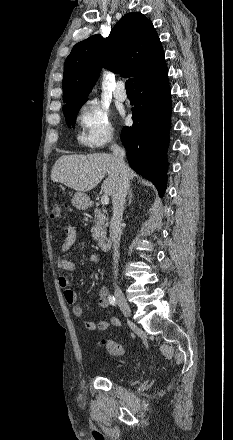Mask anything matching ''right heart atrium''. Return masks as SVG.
Here are the masks:
<instances>
[{"label": "right heart atrium", "instance_id": "1", "mask_svg": "<svg viewBox=\"0 0 233 440\" xmlns=\"http://www.w3.org/2000/svg\"><path fill=\"white\" fill-rule=\"evenodd\" d=\"M77 123L80 127L78 140L89 150L101 149L114 137L109 114L97 101L90 100L81 105Z\"/></svg>", "mask_w": 233, "mask_h": 440}]
</instances>
